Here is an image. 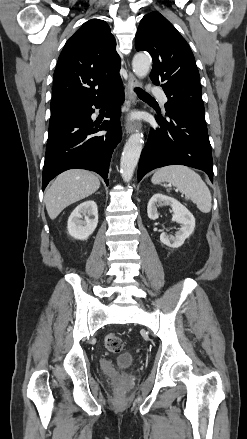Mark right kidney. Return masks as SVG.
I'll use <instances>...</instances> for the list:
<instances>
[{"label": "right kidney", "instance_id": "obj_1", "mask_svg": "<svg viewBox=\"0 0 247 439\" xmlns=\"http://www.w3.org/2000/svg\"><path fill=\"white\" fill-rule=\"evenodd\" d=\"M98 224L97 204L88 200L78 205L68 219V233L79 240H86Z\"/></svg>", "mask_w": 247, "mask_h": 439}]
</instances>
